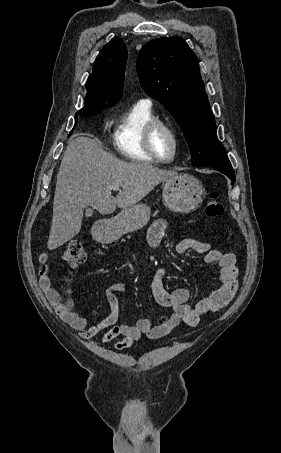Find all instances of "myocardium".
Segmentation results:
<instances>
[{"instance_id":"obj_1","label":"myocardium","mask_w":281,"mask_h":453,"mask_svg":"<svg viewBox=\"0 0 281 453\" xmlns=\"http://www.w3.org/2000/svg\"><path fill=\"white\" fill-rule=\"evenodd\" d=\"M161 132H165L169 135L172 140V153L170 158L164 159L162 158L156 149V141ZM145 146L147 149L148 154L157 162L163 164L172 163L178 153V146H179V136L175 128L168 122L163 120H155L151 122L146 129L145 133Z\"/></svg>"}]
</instances>
